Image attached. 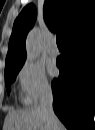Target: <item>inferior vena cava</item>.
Returning a JSON list of instances; mask_svg holds the SVG:
<instances>
[{
  "mask_svg": "<svg viewBox=\"0 0 95 130\" xmlns=\"http://www.w3.org/2000/svg\"><path fill=\"white\" fill-rule=\"evenodd\" d=\"M40 109L46 119L49 130H58V119L53 111V94L51 87H46L40 95Z\"/></svg>",
  "mask_w": 95,
  "mask_h": 130,
  "instance_id": "inferior-vena-cava-1",
  "label": "inferior vena cava"
}]
</instances>
